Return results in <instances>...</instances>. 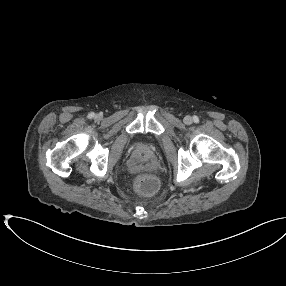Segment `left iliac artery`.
Returning <instances> with one entry per match:
<instances>
[{
	"instance_id": "1",
	"label": "left iliac artery",
	"mask_w": 286,
	"mask_h": 286,
	"mask_svg": "<svg viewBox=\"0 0 286 286\" xmlns=\"http://www.w3.org/2000/svg\"><path fill=\"white\" fill-rule=\"evenodd\" d=\"M193 120H194L195 123L199 122V118L197 116H194Z\"/></svg>"
}]
</instances>
